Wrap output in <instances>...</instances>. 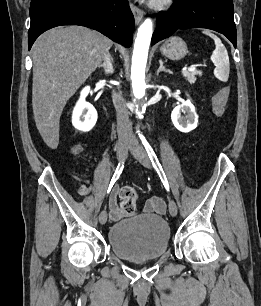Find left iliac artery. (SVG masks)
Wrapping results in <instances>:
<instances>
[{
	"label": "left iliac artery",
	"mask_w": 261,
	"mask_h": 306,
	"mask_svg": "<svg viewBox=\"0 0 261 306\" xmlns=\"http://www.w3.org/2000/svg\"><path fill=\"white\" fill-rule=\"evenodd\" d=\"M140 139L142 140V143L144 144L145 146V149L148 153V156L154 166V168L156 169V171L158 172L165 188L169 191V184H168V181H167V178L165 176V173L162 169V166L161 164L159 163L158 159H157V156L156 154L154 153L152 147L150 146V144L146 141V139L143 137V136H140Z\"/></svg>",
	"instance_id": "1"
}]
</instances>
